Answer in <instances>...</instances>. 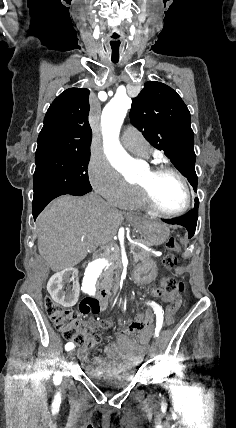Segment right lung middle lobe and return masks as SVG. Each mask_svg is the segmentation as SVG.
Listing matches in <instances>:
<instances>
[{
    "mask_svg": "<svg viewBox=\"0 0 236 428\" xmlns=\"http://www.w3.org/2000/svg\"><path fill=\"white\" fill-rule=\"evenodd\" d=\"M35 155L33 200L57 192L92 190L87 172L90 151H41Z\"/></svg>",
    "mask_w": 236,
    "mask_h": 428,
    "instance_id": "dd1d6c3e",
    "label": "right lung middle lobe"
}]
</instances>
